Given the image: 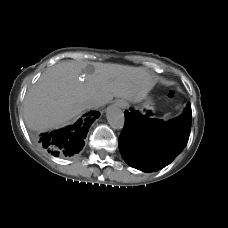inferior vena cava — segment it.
I'll use <instances>...</instances> for the list:
<instances>
[{"instance_id":"1","label":"inferior vena cava","mask_w":228,"mask_h":228,"mask_svg":"<svg viewBox=\"0 0 228 228\" xmlns=\"http://www.w3.org/2000/svg\"><path fill=\"white\" fill-rule=\"evenodd\" d=\"M86 107L89 108V109H91V108H94L95 107V104L92 101H87L86 102Z\"/></svg>"}]
</instances>
